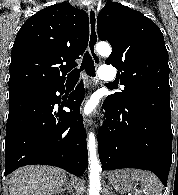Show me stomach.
<instances>
[{"label": "stomach", "instance_id": "stomach-1", "mask_svg": "<svg viewBox=\"0 0 178 195\" xmlns=\"http://www.w3.org/2000/svg\"><path fill=\"white\" fill-rule=\"evenodd\" d=\"M108 180L113 189L121 194L130 192L134 188V180L123 171H112L108 173Z\"/></svg>", "mask_w": 178, "mask_h": 195}]
</instances>
